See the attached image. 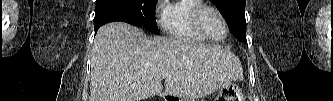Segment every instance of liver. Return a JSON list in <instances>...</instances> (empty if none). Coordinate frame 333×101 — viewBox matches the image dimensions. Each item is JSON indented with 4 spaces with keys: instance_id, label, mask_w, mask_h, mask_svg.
<instances>
[{
    "instance_id": "liver-1",
    "label": "liver",
    "mask_w": 333,
    "mask_h": 101,
    "mask_svg": "<svg viewBox=\"0 0 333 101\" xmlns=\"http://www.w3.org/2000/svg\"><path fill=\"white\" fill-rule=\"evenodd\" d=\"M201 99L243 77L239 59L219 45L181 37H147L124 22L102 26L91 57L89 101H141L162 93Z\"/></svg>"
}]
</instances>
